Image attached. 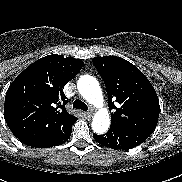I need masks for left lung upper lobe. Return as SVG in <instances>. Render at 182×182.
<instances>
[{
  "label": "left lung upper lobe",
  "instance_id": "obj_1",
  "mask_svg": "<svg viewBox=\"0 0 182 182\" xmlns=\"http://www.w3.org/2000/svg\"><path fill=\"white\" fill-rule=\"evenodd\" d=\"M93 64L108 92L111 125L152 133L159 118V99L147 77L117 56L95 57Z\"/></svg>",
  "mask_w": 182,
  "mask_h": 182
}]
</instances>
